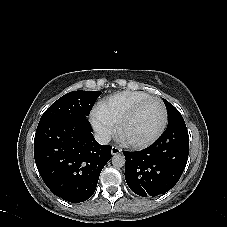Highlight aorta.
<instances>
[{
	"label": "aorta",
	"instance_id": "aorta-1",
	"mask_svg": "<svg viewBox=\"0 0 227 227\" xmlns=\"http://www.w3.org/2000/svg\"><path fill=\"white\" fill-rule=\"evenodd\" d=\"M125 163H126V159L123 154L118 153L112 157V165L115 168H121V167L125 166Z\"/></svg>",
	"mask_w": 227,
	"mask_h": 227
}]
</instances>
